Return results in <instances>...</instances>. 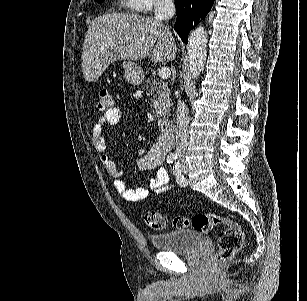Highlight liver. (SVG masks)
Instances as JSON below:
<instances>
[{"instance_id": "liver-1", "label": "liver", "mask_w": 307, "mask_h": 301, "mask_svg": "<svg viewBox=\"0 0 307 301\" xmlns=\"http://www.w3.org/2000/svg\"><path fill=\"white\" fill-rule=\"evenodd\" d=\"M176 52L173 34L161 20L110 12L96 16L88 26L82 70L84 78L93 82L115 60H143L151 54L152 62H170L176 58Z\"/></svg>"}]
</instances>
